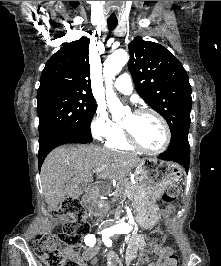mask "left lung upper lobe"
<instances>
[{
  "instance_id": "left-lung-upper-lobe-1",
  "label": "left lung upper lobe",
  "mask_w": 221,
  "mask_h": 266,
  "mask_svg": "<svg viewBox=\"0 0 221 266\" xmlns=\"http://www.w3.org/2000/svg\"><path fill=\"white\" fill-rule=\"evenodd\" d=\"M129 71L142 99L168 123L171 143L188 137L191 86L183 65L160 44L136 37L129 44Z\"/></svg>"
}]
</instances>
